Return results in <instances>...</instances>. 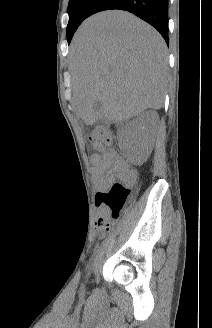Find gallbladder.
Segmentation results:
<instances>
[{
  "label": "gallbladder",
  "instance_id": "gallbladder-1",
  "mask_svg": "<svg viewBox=\"0 0 212 328\" xmlns=\"http://www.w3.org/2000/svg\"><path fill=\"white\" fill-rule=\"evenodd\" d=\"M94 110L95 112L99 113L101 110H102V104L100 101H97L95 104H94ZM101 120L98 119L96 122H100Z\"/></svg>",
  "mask_w": 212,
  "mask_h": 328
}]
</instances>
